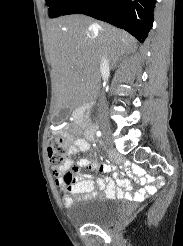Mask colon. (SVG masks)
<instances>
[{"label":"colon","instance_id":"colon-1","mask_svg":"<svg viewBox=\"0 0 183 246\" xmlns=\"http://www.w3.org/2000/svg\"><path fill=\"white\" fill-rule=\"evenodd\" d=\"M47 151L50 166L54 170H60L67 161V148L64 140L59 136H50L48 139ZM67 180L71 181L72 178H67Z\"/></svg>","mask_w":183,"mask_h":246}]
</instances>
